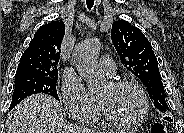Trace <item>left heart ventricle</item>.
<instances>
[{
    "label": "left heart ventricle",
    "mask_w": 184,
    "mask_h": 133,
    "mask_svg": "<svg viewBox=\"0 0 184 133\" xmlns=\"http://www.w3.org/2000/svg\"><path fill=\"white\" fill-rule=\"evenodd\" d=\"M97 97L106 112L118 119H130L139 114L142 101L139 93L132 87L113 88L104 85Z\"/></svg>",
    "instance_id": "obj_1"
}]
</instances>
